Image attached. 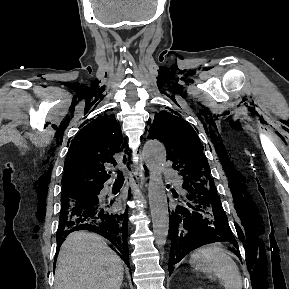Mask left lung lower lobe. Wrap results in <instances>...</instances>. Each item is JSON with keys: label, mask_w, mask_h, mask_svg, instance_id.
Returning <instances> with one entry per match:
<instances>
[{"label": "left lung lower lobe", "mask_w": 289, "mask_h": 289, "mask_svg": "<svg viewBox=\"0 0 289 289\" xmlns=\"http://www.w3.org/2000/svg\"><path fill=\"white\" fill-rule=\"evenodd\" d=\"M173 195L177 200L169 210V273L174 264L201 246L198 245L200 239L214 237L218 241H229L238 248L215 185L184 182L181 193Z\"/></svg>", "instance_id": "0a47b994"}]
</instances>
